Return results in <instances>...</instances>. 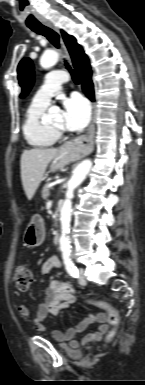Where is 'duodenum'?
Returning a JSON list of instances; mask_svg holds the SVG:
<instances>
[{
    "label": "duodenum",
    "instance_id": "obj_1",
    "mask_svg": "<svg viewBox=\"0 0 145 385\" xmlns=\"http://www.w3.org/2000/svg\"><path fill=\"white\" fill-rule=\"evenodd\" d=\"M53 241L54 243L58 244L59 241H60V235H59V232L58 231H55L54 232V235H53Z\"/></svg>",
    "mask_w": 145,
    "mask_h": 385
}]
</instances>
